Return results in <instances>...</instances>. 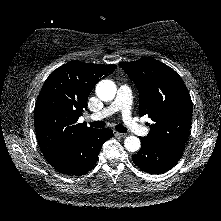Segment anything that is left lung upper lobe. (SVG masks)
<instances>
[{
    "mask_svg": "<svg viewBox=\"0 0 221 221\" xmlns=\"http://www.w3.org/2000/svg\"><path fill=\"white\" fill-rule=\"evenodd\" d=\"M135 82L141 116L154 122L144 137L156 145L183 150L192 120V101L181 77L169 66L153 58L120 63Z\"/></svg>",
    "mask_w": 221,
    "mask_h": 221,
    "instance_id": "obj_1",
    "label": "left lung upper lobe"
}]
</instances>
